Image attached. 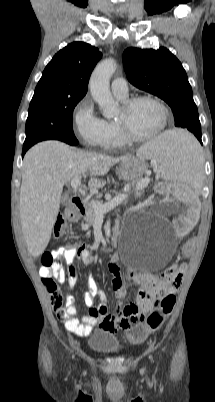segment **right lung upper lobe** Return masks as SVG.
Instances as JSON below:
<instances>
[{
	"mask_svg": "<svg viewBox=\"0 0 215 402\" xmlns=\"http://www.w3.org/2000/svg\"><path fill=\"white\" fill-rule=\"evenodd\" d=\"M102 54L84 42H73L60 50L43 71L34 96L83 98L93 68Z\"/></svg>",
	"mask_w": 215,
	"mask_h": 402,
	"instance_id": "1",
	"label": "right lung upper lobe"
}]
</instances>
